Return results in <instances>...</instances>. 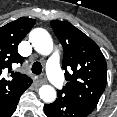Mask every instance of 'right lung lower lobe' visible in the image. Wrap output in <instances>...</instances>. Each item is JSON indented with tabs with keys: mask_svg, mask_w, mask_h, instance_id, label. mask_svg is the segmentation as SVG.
<instances>
[{
	"mask_svg": "<svg viewBox=\"0 0 117 117\" xmlns=\"http://www.w3.org/2000/svg\"><path fill=\"white\" fill-rule=\"evenodd\" d=\"M31 85V84H30ZM20 97H18L8 109L0 113V117H10L16 110L17 104L19 102Z\"/></svg>",
	"mask_w": 117,
	"mask_h": 117,
	"instance_id": "98d812e1",
	"label": "right lung lower lobe"
}]
</instances>
